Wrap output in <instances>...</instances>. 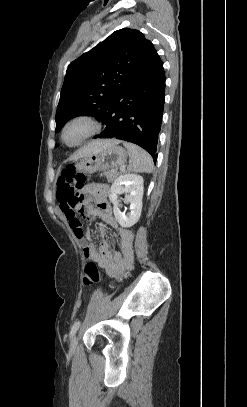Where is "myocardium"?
<instances>
[{"mask_svg": "<svg viewBox=\"0 0 247 407\" xmlns=\"http://www.w3.org/2000/svg\"><path fill=\"white\" fill-rule=\"evenodd\" d=\"M76 123H84L87 126V130L76 141L68 142V141H66V138H65L66 132L72 125H74ZM100 130H101V124L97 120L96 117H94L93 115L88 114V113H79V114H76V115L72 116L71 118H69L63 124L61 131H60V141L64 146H66L68 148H76V147L81 146L91 137L95 136Z\"/></svg>", "mask_w": 247, "mask_h": 407, "instance_id": "myocardium-1", "label": "myocardium"}]
</instances>
